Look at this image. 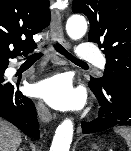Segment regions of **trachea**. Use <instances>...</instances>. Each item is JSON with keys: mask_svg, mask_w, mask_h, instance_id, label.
<instances>
[{"mask_svg": "<svg viewBox=\"0 0 131 151\" xmlns=\"http://www.w3.org/2000/svg\"><path fill=\"white\" fill-rule=\"evenodd\" d=\"M55 49L62 55H64L66 58H68L69 60L73 61V62H77V63H84L83 61L77 59L76 57H74L73 55H71L62 45H60L59 43H55L54 44ZM43 53L42 52H38L35 53L31 56H29V60H37L40 57H42Z\"/></svg>", "mask_w": 131, "mask_h": 151, "instance_id": "trachea-1", "label": "trachea"}]
</instances>
